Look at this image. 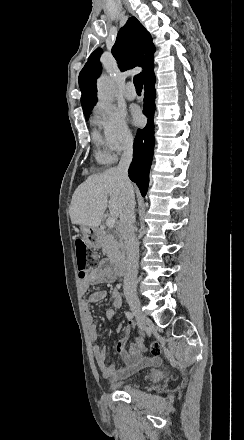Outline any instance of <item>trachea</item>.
<instances>
[{
    "mask_svg": "<svg viewBox=\"0 0 244 440\" xmlns=\"http://www.w3.org/2000/svg\"><path fill=\"white\" fill-rule=\"evenodd\" d=\"M133 83L135 85L136 91H141L143 88V81L140 75H136L133 79Z\"/></svg>",
    "mask_w": 244,
    "mask_h": 440,
    "instance_id": "trachea-1",
    "label": "trachea"
}]
</instances>
